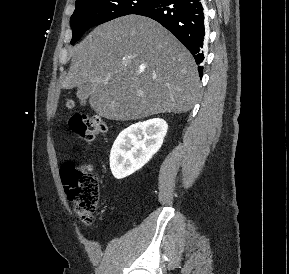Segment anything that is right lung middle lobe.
Returning <instances> with one entry per match:
<instances>
[{"label":"right lung middle lobe","mask_w":289,"mask_h":274,"mask_svg":"<svg viewBox=\"0 0 289 274\" xmlns=\"http://www.w3.org/2000/svg\"><path fill=\"white\" fill-rule=\"evenodd\" d=\"M156 0H76V9L70 25L73 36L71 43L77 42L91 27L112 19L135 14Z\"/></svg>","instance_id":"dd1d6c3e"}]
</instances>
